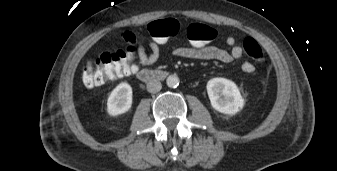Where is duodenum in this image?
Segmentation results:
<instances>
[{"mask_svg": "<svg viewBox=\"0 0 337 171\" xmlns=\"http://www.w3.org/2000/svg\"><path fill=\"white\" fill-rule=\"evenodd\" d=\"M138 77L145 82L163 80L166 77V72L162 70H143L138 73Z\"/></svg>", "mask_w": 337, "mask_h": 171, "instance_id": "duodenum-1", "label": "duodenum"}]
</instances>
